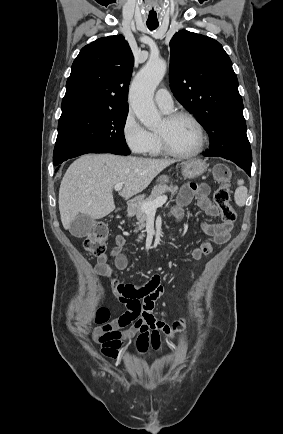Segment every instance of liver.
<instances>
[{
    "mask_svg": "<svg viewBox=\"0 0 283 434\" xmlns=\"http://www.w3.org/2000/svg\"><path fill=\"white\" fill-rule=\"evenodd\" d=\"M171 159H146L113 154H87L67 169L59 189V210L64 229L78 215L100 219L115 209L113 188L122 183L119 195L130 198L145 190L152 180L173 164Z\"/></svg>",
    "mask_w": 283,
    "mask_h": 434,
    "instance_id": "6515ba94",
    "label": "liver"
}]
</instances>
